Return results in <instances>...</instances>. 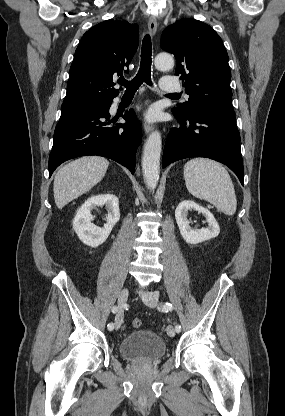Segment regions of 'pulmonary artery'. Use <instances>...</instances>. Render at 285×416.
<instances>
[{
	"label": "pulmonary artery",
	"mask_w": 285,
	"mask_h": 416,
	"mask_svg": "<svg viewBox=\"0 0 285 416\" xmlns=\"http://www.w3.org/2000/svg\"><path fill=\"white\" fill-rule=\"evenodd\" d=\"M172 80H174L173 77L165 76L161 78L160 84H161V88L167 91V94L169 96H176L178 94V91L182 90V87L177 80H175V83H170ZM185 96L188 97L187 94H185ZM118 101H119L118 98L114 100L113 105H112L113 109H116L118 105Z\"/></svg>",
	"instance_id": "1"
}]
</instances>
